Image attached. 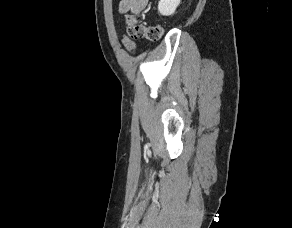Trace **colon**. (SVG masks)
I'll return each mask as SVG.
<instances>
[{
  "mask_svg": "<svg viewBox=\"0 0 292 228\" xmlns=\"http://www.w3.org/2000/svg\"><path fill=\"white\" fill-rule=\"evenodd\" d=\"M127 33L135 40L157 41L163 35V28L159 25L145 26L133 16H126Z\"/></svg>",
  "mask_w": 292,
  "mask_h": 228,
  "instance_id": "colon-1",
  "label": "colon"
}]
</instances>
